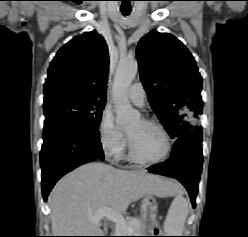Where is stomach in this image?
Here are the masks:
<instances>
[{
  "label": "stomach",
  "instance_id": "1",
  "mask_svg": "<svg viewBox=\"0 0 248 237\" xmlns=\"http://www.w3.org/2000/svg\"><path fill=\"white\" fill-rule=\"evenodd\" d=\"M171 194H172V190L169 189L166 190L159 197H165ZM157 210H158V204L153 195H147L142 199L140 213L145 229L144 232L152 231L154 221L157 215Z\"/></svg>",
  "mask_w": 248,
  "mask_h": 237
}]
</instances>
